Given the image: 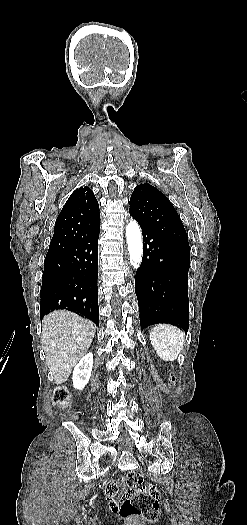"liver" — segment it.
<instances>
[{
    "instance_id": "1",
    "label": "liver",
    "mask_w": 247,
    "mask_h": 525,
    "mask_svg": "<svg viewBox=\"0 0 247 525\" xmlns=\"http://www.w3.org/2000/svg\"><path fill=\"white\" fill-rule=\"evenodd\" d=\"M96 329L92 321L71 311H53L43 317L41 347L56 385L68 381L75 365L86 355Z\"/></svg>"
}]
</instances>
